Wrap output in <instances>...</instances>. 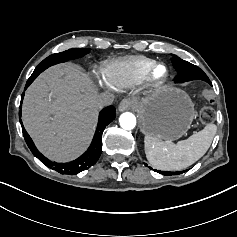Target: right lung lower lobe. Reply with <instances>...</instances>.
<instances>
[{"label":"right lung lower lobe","instance_id":"1","mask_svg":"<svg viewBox=\"0 0 237 237\" xmlns=\"http://www.w3.org/2000/svg\"><path fill=\"white\" fill-rule=\"evenodd\" d=\"M35 78L36 77L31 75V77L28 79L26 83L25 89L34 81ZM23 97L24 93L21 96L20 109L22 107ZM115 116H116L115 108L113 106H108L104 108L100 112L97 129L89 149L82 156H80L78 159L72 162L55 163L48 160L37 150L32 139L30 138V136L23 127L21 121V111H19V120L22 126L23 136L33 155H35L44 165L48 166L49 168L61 174H68V175H75L81 171H84L97 162L102 152V133L105 127L115 119Z\"/></svg>","mask_w":237,"mask_h":237}]
</instances>
